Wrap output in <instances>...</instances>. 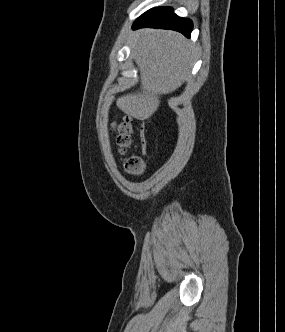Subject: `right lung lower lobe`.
Wrapping results in <instances>:
<instances>
[{
  "mask_svg": "<svg viewBox=\"0 0 285 332\" xmlns=\"http://www.w3.org/2000/svg\"><path fill=\"white\" fill-rule=\"evenodd\" d=\"M143 27L175 30L189 38L193 24L190 19L178 17L170 7H157L142 14L134 22L132 29Z\"/></svg>",
  "mask_w": 285,
  "mask_h": 332,
  "instance_id": "1",
  "label": "right lung lower lobe"
}]
</instances>
